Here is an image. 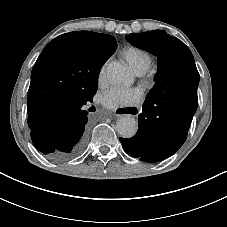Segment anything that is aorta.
<instances>
[{
    "mask_svg": "<svg viewBox=\"0 0 227 227\" xmlns=\"http://www.w3.org/2000/svg\"><path fill=\"white\" fill-rule=\"evenodd\" d=\"M107 77L114 83H131L132 75L128 67L117 61H112L107 66ZM138 129V123L132 116H122L117 121V131L123 138L133 137Z\"/></svg>",
    "mask_w": 227,
    "mask_h": 227,
    "instance_id": "1",
    "label": "aorta"
}]
</instances>
